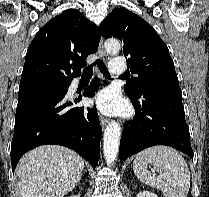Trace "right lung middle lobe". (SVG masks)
<instances>
[{
    "label": "right lung middle lobe",
    "instance_id": "1",
    "mask_svg": "<svg viewBox=\"0 0 209 197\" xmlns=\"http://www.w3.org/2000/svg\"><path fill=\"white\" fill-rule=\"evenodd\" d=\"M68 86L69 84H48L19 89L18 103L24 102L35 97L62 94L67 90Z\"/></svg>",
    "mask_w": 209,
    "mask_h": 197
}]
</instances>
